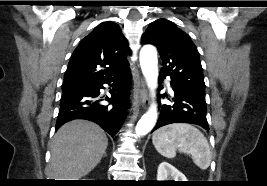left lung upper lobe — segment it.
I'll return each mask as SVG.
<instances>
[{
	"mask_svg": "<svg viewBox=\"0 0 267 186\" xmlns=\"http://www.w3.org/2000/svg\"><path fill=\"white\" fill-rule=\"evenodd\" d=\"M144 44L157 47L163 67L161 75L172 82L205 95V83L199 52L190 37L173 22L158 19L142 36Z\"/></svg>",
	"mask_w": 267,
	"mask_h": 186,
	"instance_id": "1",
	"label": "left lung upper lobe"
}]
</instances>
